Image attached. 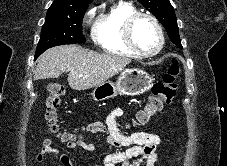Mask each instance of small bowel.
<instances>
[{
	"mask_svg": "<svg viewBox=\"0 0 227 166\" xmlns=\"http://www.w3.org/2000/svg\"><path fill=\"white\" fill-rule=\"evenodd\" d=\"M122 109L117 107L109 112L105 123H92L87 126H81L75 129L76 133H105V141L108 145L121 148L127 147L126 150L108 153L103 158V166H156L158 156L157 147L161 142L158 135L149 132L146 128L139 132L131 134L123 133L117 123V117L122 115ZM71 148H83L90 153L96 154V147L83 140L69 145ZM51 155L59 157L58 166H76L74 160L69 156L60 153L54 147V142L51 138H45L40 151L36 155L38 163H44Z\"/></svg>",
	"mask_w": 227,
	"mask_h": 166,
	"instance_id": "obj_1",
	"label": "small bowel"
}]
</instances>
